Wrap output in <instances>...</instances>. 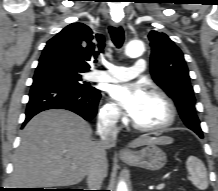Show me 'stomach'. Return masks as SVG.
I'll use <instances>...</instances> for the list:
<instances>
[{
  "mask_svg": "<svg viewBox=\"0 0 218 191\" xmlns=\"http://www.w3.org/2000/svg\"><path fill=\"white\" fill-rule=\"evenodd\" d=\"M122 160L132 166L158 171L165 166L167 156L156 144H148L145 148L132 152L130 157H123Z\"/></svg>",
  "mask_w": 218,
  "mask_h": 191,
  "instance_id": "0dacf381",
  "label": "stomach"
}]
</instances>
